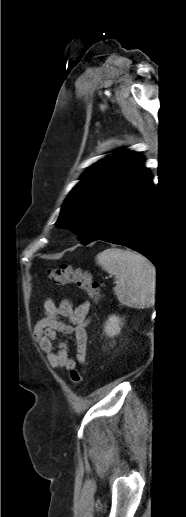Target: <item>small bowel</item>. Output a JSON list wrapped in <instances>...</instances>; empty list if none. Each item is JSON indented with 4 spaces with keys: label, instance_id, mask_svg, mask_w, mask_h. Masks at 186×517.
<instances>
[{
    "label": "small bowel",
    "instance_id": "c3829d8e",
    "mask_svg": "<svg viewBox=\"0 0 186 517\" xmlns=\"http://www.w3.org/2000/svg\"><path fill=\"white\" fill-rule=\"evenodd\" d=\"M43 310L44 316L37 322L34 335L39 340L40 348L46 355L50 367L71 370L76 366V361L69 357L66 343H55L58 333L74 336L76 360L84 363L87 351L86 327L89 324L90 303L84 302L73 307L68 299L62 300L59 305H56L53 300L47 299L44 302Z\"/></svg>",
    "mask_w": 186,
    "mask_h": 517
}]
</instances>
